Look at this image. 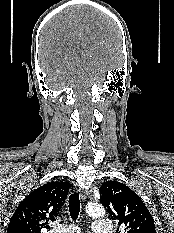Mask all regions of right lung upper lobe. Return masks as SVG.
<instances>
[{
  "label": "right lung upper lobe",
  "instance_id": "obj_1",
  "mask_svg": "<svg viewBox=\"0 0 174 233\" xmlns=\"http://www.w3.org/2000/svg\"><path fill=\"white\" fill-rule=\"evenodd\" d=\"M71 184L49 182L32 191L17 207L7 233H41L62 208Z\"/></svg>",
  "mask_w": 174,
  "mask_h": 233
}]
</instances>
